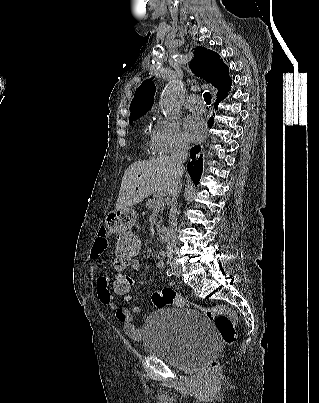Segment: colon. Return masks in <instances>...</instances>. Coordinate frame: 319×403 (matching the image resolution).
I'll return each instance as SVG.
<instances>
[{
    "mask_svg": "<svg viewBox=\"0 0 319 403\" xmlns=\"http://www.w3.org/2000/svg\"><path fill=\"white\" fill-rule=\"evenodd\" d=\"M141 240V234H115L113 260L114 268H117V270H114L112 274L113 282H109V284L113 286V291H115L116 296H118L122 304L134 303V290L131 287L132 273L127 268H138L139 263L136 257L137 254H142L143 251ZM152 302L158 308H165L171 305L179 307L192 306L208 318L214 320L216 330L226 345L231 346L236 342L235 323L237 316L232 309L226 306L205 308L194 304L191 305L170 288L156 291L152 295ZM217 366V361H212L208 369L214 371L217 369Z\"/></svg>",
    "mask_w": 319,
    "mask_h": 403,
    "instance_id": "5ec220e1",
    "label": "colon"
}]
</instances>
